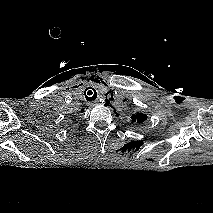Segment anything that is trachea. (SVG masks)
I'll return each instance as SVG.
<instances>
[{
    "instance_id": "trachea-1",
    "label": "trachea",
    "mask_w": 213,
    "mask_h": 213,
    "mask_svg": "<svg viewBox=\"0 0 213 213\" xmlns=\"http://www.w3.org/2000/svg\"><path fill=\"white\" fill-rule=\"evenodd\" d=\"M89 89H91V90H88V91H87V95L85 94V97H86V100H88V101H93V100H95L96 97H97V92H96V90L93 89V88H89ZM92 90H93V91H92Z\"/></svg>"
}]
</instances>
